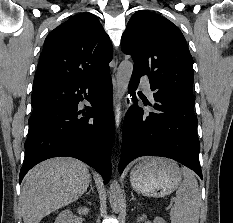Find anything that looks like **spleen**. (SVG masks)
Masks as SVG:
<instances>
[{"label": "spleen", "mask_w": 233, "mask_h": 223, "mask_svg": "<svg viewBox=\"0 0 233 223\" xmlns=\"http://www.w3.org/2000/svg\"><path fill=\"white\" fill-rule=\"evenodd\" d=\"M184 181L176 191L175 205L171 207V223H198L201 193L198 181L189 169H183Z\"/></svg>", "instance_id": "1"}]
</instances>
